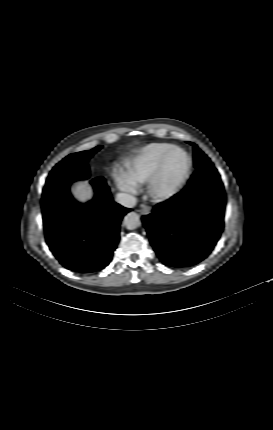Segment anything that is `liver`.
I'll return each mask as SVG.
<instances>
[{"instance_id":"1","label":"liver","mask_w":273,"mask_h":430,"mask_svg":"<svg viewBox=\"0 0 273 430\" xmlns=\"http://www.w3.org/2000/svg\"><path fill=\"white\" fill-rule=\"evenodd\" d=\"M71 195L77 202L85 204L93 198L94 193L87 181H81L72 190Z\"/></svg>"}]
</instances>
